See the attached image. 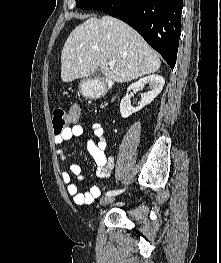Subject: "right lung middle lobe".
<instances>
[{
	"label": "right lung middle lobe",
	"mask_w": 221,
	"mask_h": 263,
	"mask_svg": "<svg viewBox=\"0 0 221 263\" xmlns=\"http://www.w3.org/2000/svg\"><path fill=\"white\" fill-rule=\"evenodd\" d=\"M103 0H76L77 8L94 9Z\"/></svg>",
	"instance_id": "right-lung-middle-lobe-1"
}]
</instances>
